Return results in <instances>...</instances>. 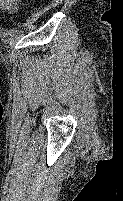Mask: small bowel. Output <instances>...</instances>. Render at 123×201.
<instances>
[{"label":"small bowel","instance_id":"obj_1","mask_svg":"<svg viewBox=\"0 0 123 201\" xmlns=\"http://www.w3.org/2000/svg\"><path fill=\"white\" fill-rule=\"evenodd\" d=\"M20 0H0V10L8 13H15Z\"/></svg>","mask_w":123,"mask_h":201}]
</instances>
